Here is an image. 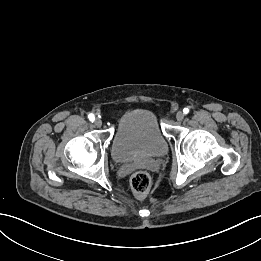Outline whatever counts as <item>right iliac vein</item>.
I'll return each mask as SVG.
<instances>
[{
    "label": "right iliac vein",
    "instance_id": "obj_1",
    "mask_svg": "<svg viewBox=\"0 0 261 261\" xmlns=\"http://www.w3.org/2000/svg\"><path fill=\"white\" fill-rule=\"evenodd\" d=\"M94 125H95L96 127H101V126H102V121H101V119L97 118V119L95 120V122H94Z\"/></svg>",
    "mask_w": 261,
    "mask_h": 261
}]
</instances>
